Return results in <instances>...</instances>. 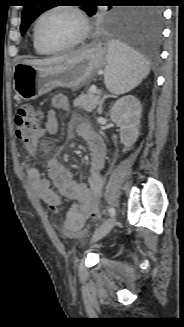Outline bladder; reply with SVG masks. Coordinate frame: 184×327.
<instances>
[{
    "label": "bladder",
    "mask_w": 184,
    "mask_h": 327,
    "mask_svg": "<svg viewBox=\"0 0 184 327\" xmlns=\"http://www.w3.org/2000/svg\"><path fill=\"white\" fill-rule=\"evenodd\" d=\"M78 238L81 239V240H83V239H85V235L84 234H81V235H79Z\"/></svg>",
    "instance_id": "31cf9c89"
}]
</instances>
